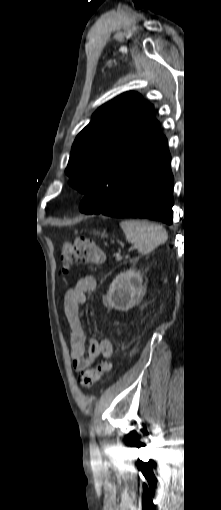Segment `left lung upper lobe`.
<instances>
[{"label":"left lung upper lobe","instance_id":"left-lung-upper-lobe-1","mask_svg":"<svg viewBox=\"0 0 221 510\" xmlns=\"http://www.w3.org/2000/svg\"><path fill=\"white\" fill-rule=\"evenodd\" d=\"M167 149L153 106L126 92L101 106L76 137L65 170L92 208L108 205L155 155Z\"/></svg>","mask_w":221,"mask_h":510}]
</instances>
